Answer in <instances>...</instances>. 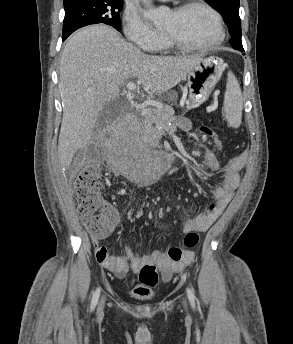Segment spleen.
Segmentation results:
<instances>
[{
    "mask_svg": "<svg viewBox=\"0 0 293 344\" xmlns=\"http://www.w3.org/2000/svg\"><path fill=\"white\" fill-rule=\"evenodd\" d=\"M242 110L243 97L239 83L235 76L229 72L223 103V115L229 126L234 128L240 126L242 120Z\"/></svg>",
    "mask_w": 293,
    "mask_h": 344,
    "instance_id": "obj_1",
    "label": "spleen"
}]
</instances>
